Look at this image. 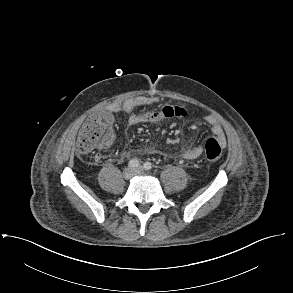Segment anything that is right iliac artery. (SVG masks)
I'll return each instance as SVG.
<instances>
[{"label": "right iliac artery", "instance_id": "82829eb1", "mask_svg": "<svg viewBox=\"0 0 293 293\" xmlns=\"http://www.w3.org/2000/svg\"><path fill=\"white\" fill-rule=\"evenodd\" d=\"M140 165V160L139 159H132L129 161L128 166L131 168H136Z\"/></svg>", "mask_w": 293, "mask_h": 293}]
</instances>
